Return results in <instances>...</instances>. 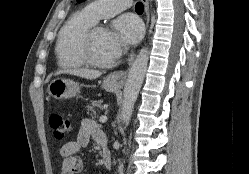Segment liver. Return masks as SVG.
<instances>
[{
  "label": "liver",
  "mask_w": 249,
  "mask_h": 174,
  "mask_svg": "<svg viewBox=\"0 0 249 174\" xmlns=\"http://www.w3.org/2000/svg\"><path fill=\"white\" fill-rule=\"evenodd\" d=\"M60 74H70L85 79H96L101 76L100 71L89 70V69H64L56 72V75Z\"/></svg>",
  "instance_id": "liver-1"
}]
</instances>
